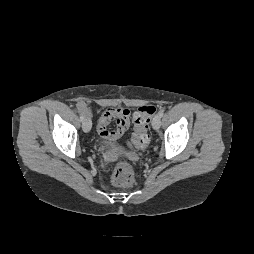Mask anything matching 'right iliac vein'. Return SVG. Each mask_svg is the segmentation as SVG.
Instances as JSON below:
<instances>
[{"mask_svg": "<svg viewBox=\"0 0 254 254\" xmlns=\"http://www.w3.org/2000/svg\"><path fill=\"white\" fill-rule=\"evenodd\" d=\"M91 120L89 117H85L84 120L82 121V128L84 132H89L91 130Z\"/></svg>", "mask_w": 254, "mask_h": 254, "instance_id": "right-iliac-vein-1", "label": "right iliac vein"}]
</instances>
